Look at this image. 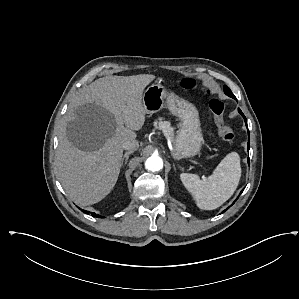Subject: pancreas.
Masks as SVG:
<instances>
[{
  "label": "pancreas",
  "instance_id": "1",
  "mask_svg": "<svg viewBox=\"0 0 299 299\" xmlns=\"http://www.w3.org/2000/svg\"><path fill=\"white\" fill-rule=\"evenodd\" d=\"M154 126L155 128L162 130L163 134L166 137H173L174 135V128L171 127V124L169 121H163L161 118L159 119V121H155L154 122Z\"/></svg>",
  "mask_w": 299,
  "mask_h": 299
}]
</instances>
